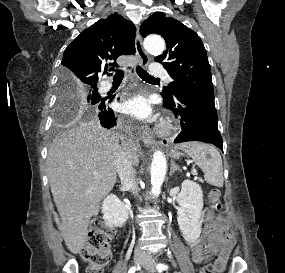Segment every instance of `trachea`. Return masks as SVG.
Listing matches in <instances>:
<instances>
[{
	"instance_id": "3493384b",
	"label": "trachea",
	"mask_w": 285,
	"mask_h": 273,
	"mask_svg": "<svg viewBox=\"0 0 285 273\" xmlns=\"http://www.w3.org/2000/svg\"><path fill=\"white\" fill-rule=\"evenodd\" d=\"M109 71H115L114 79H123L124 77V71L122 70H114V68H110ZM136 72L139 75L140 78L143 80H157V78L149 75L144 69H142L140 66L136 67Z\"/></svg>"
}]
</instances>
